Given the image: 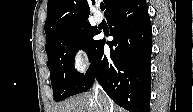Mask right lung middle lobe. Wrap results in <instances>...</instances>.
<instances>
[{
    "label": "right lung middle lobe",
    "instance_id": "1",
    "mask_svg": "<svg viewBox=\"0 0 193 112\" xmlns=\"http://www.w3.org/2000/svg\"><path fill=\"white\" fill-rule=\"evenodd\" d=\"M97 34L95 27L84 24L65 29L46 43L47 66L55 101L64 100L76 88L83 74L75 70V54L83 49L91 61L101 44V40L94 39Z\"/></svg>",
    "mask_w": 193,
    "mask_h": 112
}]
</instances>
